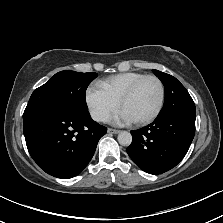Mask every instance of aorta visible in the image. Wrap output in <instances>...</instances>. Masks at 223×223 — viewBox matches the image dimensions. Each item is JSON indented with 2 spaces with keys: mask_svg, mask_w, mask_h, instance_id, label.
<instances>
[{
  "mask_svg": "<svg viewBox=\"0 0 223 223\" xmlns=\"http://www.w3.org/2000/svg\"><path fill=\"white\" fill-rule=\"evenodd\" d=\"M117 139H118V142L123 146H129L132 142V136L127 131H121L118 134Z\"/></svg>",
  "mask_w": 223,
  "mask_h": 223,
  "instance_id": "1",
  "label": "aorta"
}]
</instances>
